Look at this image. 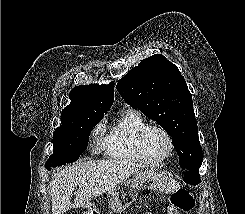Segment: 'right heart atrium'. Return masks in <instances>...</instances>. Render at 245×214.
<instances>
[{"instance_id": "d8ad5b80", "label": "right heart atrium", "mask_w": 245, "mask_h": 214, "mask_svg": "<svg viewBox=\"0 0 245 214\" xmlns=\"http://www.w3.org/2000/svg\"><path fill=\"white\" fill-rule=\"evenodd\" d=\"M103 132H104L103 123L97 124L92 131V136L95 140V142H94V150L95 151H98L100 149V146L102 143L101 142V136H102Z\"/></svg>"}]
</instances>
